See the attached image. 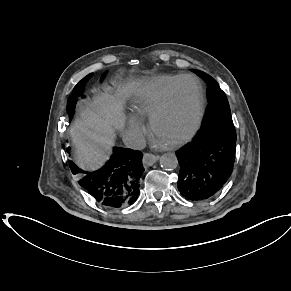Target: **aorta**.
I'll use <instances>...</instances> for the list:
<instances>
[{"instance_id":"1","label":"aorta","mask_w":291,"mask_h":291,"mask_svg":"<svg viewBox=\"0 0 291 291\" xmlns=\"http://www.w3.org/2000/svg\"><path fill=\"white\" fill-rule=\"evenodd\" d=\"M160 165L164 170H173L178 166V159L174 153H165L160 157Z\"/></svg>"}]
</instances>
